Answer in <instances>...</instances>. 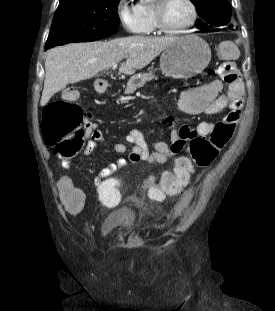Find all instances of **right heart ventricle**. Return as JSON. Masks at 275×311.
Masks as SVG:
<instances>
[{
    "mask_svg": "<svg viewBox=\"0 0 275 311\" xmlns=\"http://www.w3.org/2000/svg\"><path fill=\"white\" fill-rule=\"evenodd\" d=\"M135 7L144 22V29L141 33L144 35L154 33L156 26L153 14V3H147L144 0H140Z\"/></svg>",
    "mask_w": 275,
    "mask_h": 311,
    "instance_id": "obj_1",
    "label": "right heart ventricle"
}]
</instances>
